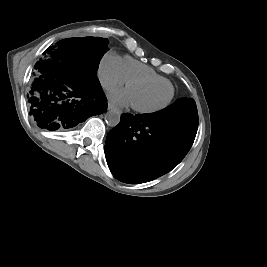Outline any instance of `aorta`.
Wrapping results in <instances>:
<instances>
[{"instance_id": "obj_1", "label": "aorta", "mask_w": 267, "mask_h": 267, "mask_svg": "<svg viewBox=\"0 0 267 267\" xmlns=\"http://www.w3.org/2000/svg\"><path fill=\"white\" fill-rule=\"evenodd\" d=\"M105 121L111 127L117 126L120 122V113L116 110L108 111L105 114Z\"/></svg>"}]
</instances>
